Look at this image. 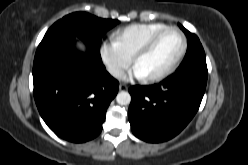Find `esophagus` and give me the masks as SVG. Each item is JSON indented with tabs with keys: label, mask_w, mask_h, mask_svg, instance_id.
Segmentation results:
<instances>
[{
	"label": "esophagus",
	"mask_w": 248,
	"mask_h": 165,
	"mask_svg": "<svg viewBox=\"0 0 248 165\" xmlns=\"http://www.w3.org/2000/svg\"><path fill=\"white\" fill-rule=\"evenodd\" d=\"M127 89H128V86L125 85V84H121V85L119 86V90H120V91H124V90H127Z\"/></svg>",
	"instance_id": "1"
}]
</instances>
